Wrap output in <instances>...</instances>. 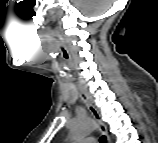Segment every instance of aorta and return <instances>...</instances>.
I'll use <instances>...</instances> for the list:
<instances>
[{"label": "aorta", "mask_w": 158, "mask_h": 143, "mask_svg": "<svg viewBox=\"0 0 158 143\" xmlns=\"http://www.w3.org/2000/svg\"><path fill=\"white\" fill-rule=\"evenodd\" d=\"M95 126L92 120L83 119L75 123L72 128V137L82 139L94 130Z\"/></svg>", "instance_id": "762f6f07"}]
</instances>
